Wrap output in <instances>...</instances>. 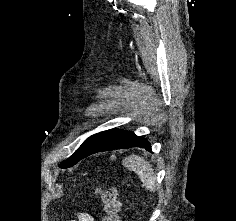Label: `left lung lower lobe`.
<instances>
[{
  "mask_svg": "<svg viewBox=\"0 0 236 221\" xmlns=\"http://www.w3.org/2000/svg\"><path fill=\"white\" fill-rule=\"evenodd\" d=\"M141 147L151 150L150 143L134 133L123 130H108L95 134L92 139L80 150L77 162L100 151Z\"/></svg>",
  "mask_w": 236,
  "mask_h": 221,
  "instance_id": "1",
  "label": "left lung lower lobe"
}]
</instances>
